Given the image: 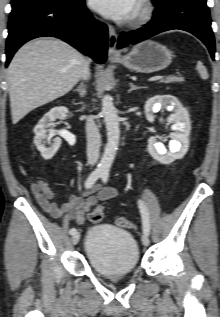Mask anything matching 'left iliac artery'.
<instances>
[{
	"label": "left iliac artery",
	"mask_w": 220,
	"mask_h": 317,
	"mask_svg": "<svg viewBox=\"0 0 220 317\" xmlns=\"http://www.w3.org/2000/svg\"><path fill=\"white\" fill-rule=\"evenodd\" d=\"M101 178H102V181L104 183H106L108 181V178H109V171L108 170L102 171ZM138 205H139V209H140V213H141V217H142L143 232H144V234H146L148 236L150 233L149 213H148V210H147L145 203L142 200H138Z\"/></svg>",
	"instance_id": "obj_1"
}]
</instances>
